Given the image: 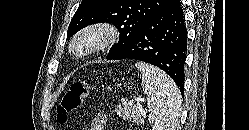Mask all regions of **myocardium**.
Segmentation results:
<instances>
[{"label": "myocardium", "instance_id": "1", "mask_svg": "<svg viewBox=\"0 0 249 130\" xmlns=\"http://www.w3.org/2000/svg\"><path fill=\"white\" fill-rule=\"evenodd\" d=\"M118 28L107 21L93 22L76 32L68 43V52L84 59L111 47L119 38Z\"/></svg>", "mask_w": 249, "mask_h": 130}]
</instances>
